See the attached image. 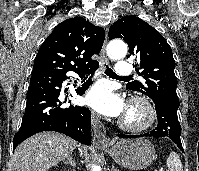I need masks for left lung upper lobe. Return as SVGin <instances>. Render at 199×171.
<instances>
[{
  "label": "left lung upper lobe",
  "instance_id": "left-lung-upper-lobe-1",
  "mask_svg": "<svg viewBox=\"0 0 199 171\" xmlns=\"http://www.w3.org/2000/svg\"><path fill=\"white\" fill-rule=\"evenodd\" d=\"M108 36L126 41L129 57L134 55L139 62L135 66L143 69L145 82L132 81L127 84L128 89L145 94L155 103L180 105L172 49L155 28L136 16H125L110 27Z\"/></svg>",
  "mask_w": 199,
  "mask_h": 171
}]
</instances>
